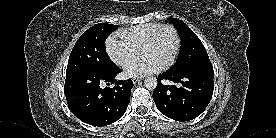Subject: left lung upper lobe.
<instances>
[{
  "mask_svg": "<svg viewBox=\"0 0 276 138\" xmlns=\"http://www.w3.org/2000/svg\"><path fill=\"white\" fill-rule=\"evenodd\" d=\"M181 38V47L176 63L169 70L182 73L213 68L205 47L196 34L181 20L170 18Z\"/></svg>",
  "mask_w": 276,
  "mask_h": 138,
  "instance_id": "obj_1",
  "label": "left lung upper lobe"
}]
</instances>
